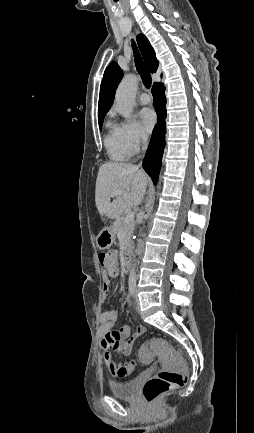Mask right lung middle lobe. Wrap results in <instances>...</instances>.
Instances as JSON below:
<instances>
[{
	"instance_id": "dd1d6c3e",
	"label": "right lung middle lobe",
	"mask_w": 254,
	"mask_h": 433,
	"mask_svg": "<svg viewBox=\"0 0 254 433\" xmlns=\"http://www.w3.org/2000/svg\"><path fill=\"white\" fill-rule=\"evenodd\" d=\"M103 121H99V126L101 128Z\"/></svg>"
}]
</instances>
